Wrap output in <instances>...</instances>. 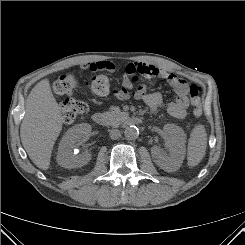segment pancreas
<instances>
[{
  "label": "pancreas",
  "mask_w": 245,
  "mask_h": 245,
  "mask_svg": "<svg viewBox=\"0 0 245 245\" xmlns=\"http://www.w3.org/2000/svg\"><path fill=\"white\" fill-rule=\"evenodd\" d=\"M127 115L125 112H121L119 107H110L109 111L104 113L107 124L116 125Z\"/></svg>",
  "instance_id": "obj_1"
}]
</instances>
